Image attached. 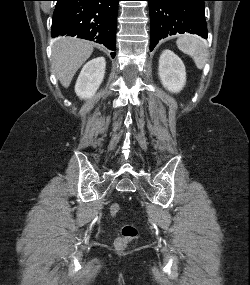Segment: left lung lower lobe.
Segmentation results:
<instances>
[{"instance_id":"obj_1","label":"left lung lower lobe","mask_w":250,"mask_h":285,"mask_svg":"<svg viewBox=\"0 0 250 285\" xmlns=\"http://www.w3.org/2000/svg\"><path fill=\"white\" fill-rule=\"evenodd\" d=\"M150 12V51L161 38L195 33L207 38L204 2L208 0H146Z\"/></svg>"}]
</instances>
